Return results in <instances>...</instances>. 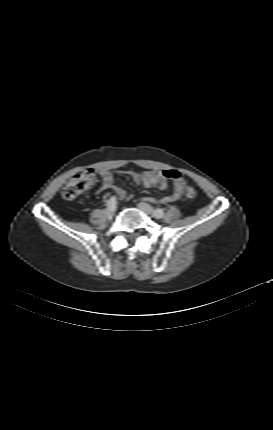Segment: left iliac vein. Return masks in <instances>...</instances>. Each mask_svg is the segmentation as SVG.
I'll use <instances>...</instances> for the list:
<instances>
[{"label": "left iliac vein", "mask_w": 273, "mask_h": 430, "mask_svg": "<svg viewBox=\"0 0 273 430\" xmlns=\"http://www.w3.org/2000/svg\"><path fill=\"white\" fill-rule=\"evenodd\" d=\"M138 207H139L143 212H145L146 214L151 215V216H153V217L157 218V217L155 216L154 212H153L152 207H151L149 204L144 203V202H141V203H139V204H138Z\"/></svg>", "instance_id": "1"}]
</instances>
